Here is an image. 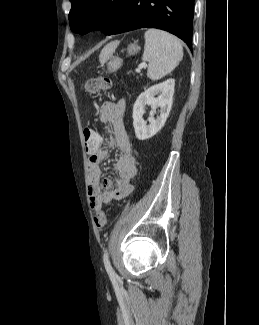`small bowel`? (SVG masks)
Listing matches in <instances>:
<instances>
[{"mask_svg": "<svg viewBox=\"0 0 259 325\" xmlns=\"http://www.w3.org/2000/svg\"><path fill=\"white\" fill-rule=\"evenodd\" d=\"M124 100L107 101L99 111L100 121L111 129L112 136L104 147V139L100 149H86L89 157L88 196L92 208L109 204L130 195L133 191L132 179L137 173L136 158L124 124ZM100 135V134H99ZM118 147L121 151L114 168L116 178H101V162L108 156V148Z\"/></svg>", "mask_w": 259, "mask_h": 325, "instance_id": "obj_1", "label": "small bowel"}]
</instances>
